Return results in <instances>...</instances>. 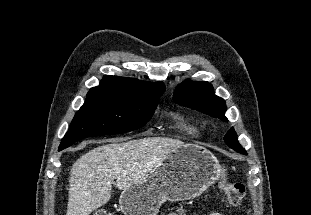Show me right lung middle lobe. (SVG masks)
Segmentation results:
<instances>
[{
  "label": "right lung middle lobe",
  "mask_w": 311,
  "mask_h": 215,
  "mask_svg": "<svg viewBox=\"0 0 311 215\" xmlns=\"http://www.w3.org/2000/svg\"><path fill=\"white\" fill-rule=\"evenodd\" d=\"M159 99L87 94L84 105L77 111L61 141L59 151L86 137L125 133L143 127L152 117Z\"/></svg>",
  "instance_id": "obj_1"
}]
</instances>
